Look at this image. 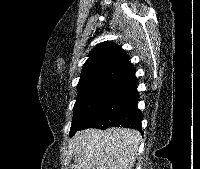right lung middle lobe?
Returning a JSON list of instances; mask_svg holds the SVG:
<instances>
[{
	"label": "right lung middle lobe",
	"instance_id": "obj_1",
	"mask_svg": "<svg viewBox=\"0 0 200 169\" xmlns=\"http://www.w3.org/2000/svg\"><path fill=\"white\" fill-rule=\"evenodd\" d=\"M116 84H101L78 93L74 108L70 136L85 122L110 96Z\"/></svg>",
	"mask_w": 200,
	"mask_h": 169
}]
</instances>
